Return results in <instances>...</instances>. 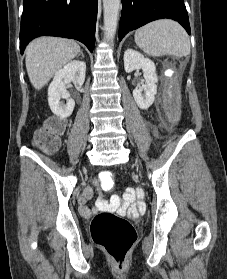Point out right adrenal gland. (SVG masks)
I'll return each mask as SVG.
<instances>
[{
    "mask_svg": "<svg viewBox=\"0 0 227 279\" xmlns=\"http://www.w3.org/2000/svg\"><path fill=\"white\" fill-rule=\"evenodd\" d=\"M79 56H82V58H84V54L82 51H80Z\"/></svg>",
    "mask_w": 227,
    "mask_h": 279,
    "instance_id": "obj_1",
    "label": "right adrenal gland"
}]
</instances>
